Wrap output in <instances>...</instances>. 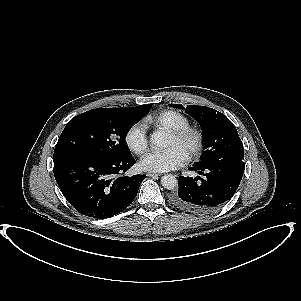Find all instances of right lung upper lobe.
Listing matches in <instances>:
<instances>
[{
    "mask_svg": "<svg viewBox=\"0 0 301 301\" xmlns=\"http://www.w3.org/2000/svg\"><path fill=\"white\" fill-rule=\"evenodd\" d=\"M151 106H152V105L149 104V105H141V106L132 107V108H124V109H130V110H136V111L149 112Z\"/></svg>",
    "mask_w": 301,
    "mask_h": 301,
    "instance_id": "right-lung-upper-lobe-1",
    "label": "right lung upper lobe"
}]
</instances>
